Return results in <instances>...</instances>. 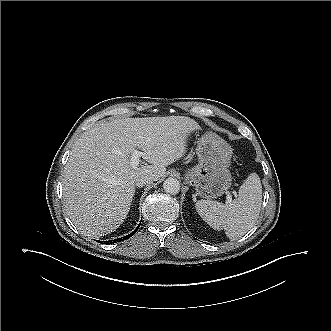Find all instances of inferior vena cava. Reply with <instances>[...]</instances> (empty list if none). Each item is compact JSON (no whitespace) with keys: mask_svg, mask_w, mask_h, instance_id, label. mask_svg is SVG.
I'll list each match as a JSON object with an SVG mask.
<instances>
[{"mask_svg":"<svg viewBox=\"0 0 331 331\" xmlns=\"http://www.w3.org/2000/svg\"><path fill=\"white\" fill-rule=\"evenodd\" d=\"M153 182V177L149 175H141L135 180V185L137 187H142L148 183Z\"/></svg>","mask_w":331,"mask_h":331,"instance_id":"1","label":"inferior vena cava"}]
</instances>
